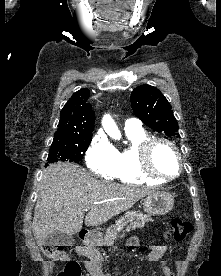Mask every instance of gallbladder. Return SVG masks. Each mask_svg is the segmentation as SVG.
<instances>
[{
    "instance_id": "gallbladder-1",
    "label": "gallbladder",
    "mask_w": 221,
    "mask_h": 276,
    "mask_svg": "<svg viewBox=\"0 0 221 276\" xmlns=\"http://www.w3.org/2000/svg\"><path fill=\"white\" fill-rule=\"evenodd\" d=\"M75 240L72 235L63 233L61 231H54L48 235L45 240L46 246H72Z\"/></svg>"
}]
</instances>
